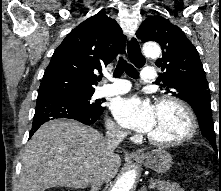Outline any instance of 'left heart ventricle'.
<instances>
[{
  "instance_id": "1",
  "label": "left heart ventricle",
  "mask_w": 221,
  "mask_h": 191,
  "mask_svg": "<svg viewBox=\"0 0 221 191\" xmlns=\"http://www.w3.org/2000/svg\"><path fill=\"white\" fill-rule=\"evenodd\" d=\"M186 128L187 119L182 110L164 104L156 108L155 123L148 135L159 140H172L184 134Z\"/></svg>"
}]
</instances>
